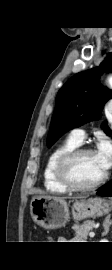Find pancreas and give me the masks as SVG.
<instances>
[{
  "instance_id": "cf45deb5",
  "label": "pancreas",
  "mask_w": 112,
  "mask_h": 270,
  "mask_svg": "<svg viewBox=\"0 0 112 270\" xmlns=\"http://www.w3.org/2000/svg\"><path fill=\"white\" fill-rule=\"evenodd\" d=\"M93 227L94 221L87 220L82 224H74L72 228L75 230L76 237L86 240Z\"/></svg>"
}]
</instances>
